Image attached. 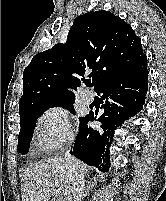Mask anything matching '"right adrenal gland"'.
<instances>
[{
  "mask_svg": "<svg viewBox=\"0 0 166 201\" xmlns=\"http://www.w3.org/2000/svg\"><path fill=\"white\" fill-rule=\"evenodd\" d=\"M95 182L91 183V180H88L86 182V187H85V193H84V198H86L87 196H89V190L95 186Z\"/></svg>",
  "mask_w": 166,
  "mask_h": 201,
  "instance_id": "2a0ac1e0",
  "label": "right adrenal gland"
}]
</instances>
